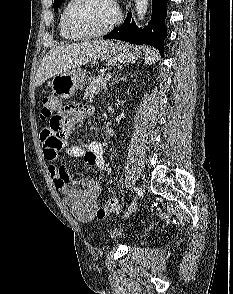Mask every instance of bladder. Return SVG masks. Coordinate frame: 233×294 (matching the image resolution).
I'll use <instances>...</instances> for the list:
<instances>
[{"instance_id": "31cf9c89", "label": "bladder", "mask_w": 233, "mask_h": 294, "mask_svg": "<svg viewBox=\"0 0 233 294\" xmlns=\"http://www.w3.org/2000/svg\"><path fill=\"white\" fill-rule=\"evenodd\" d=\"M108 236L113 240H118L125 236L124 230L120 227H112L108 230Z\"/></svg>"}]
</instances>
